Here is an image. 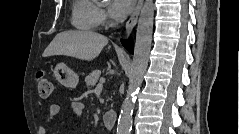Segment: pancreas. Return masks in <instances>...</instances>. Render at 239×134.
Instances as JSON below:
<instances>
[{"mask_svg":"<svg viewBox=\"0 0 239 134\" xmlns=\"http://www.w3.org/2000/svg\"><path fill=\"white\" fill-rule=\"evenodd\" d=\"M101 71L100 70H94L91 72L88 76L85 78V83L87 86H94L100 77Z\"/></svg>","mask_w":239,"mask_h":134,"instance_id":"1","label":"pancreas"}]
</instances>
